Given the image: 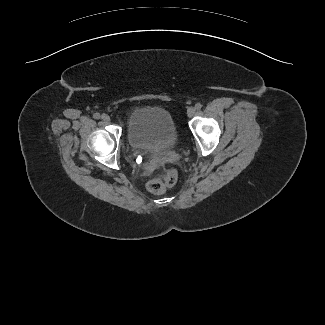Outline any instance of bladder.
Returning <instances> with one entry per match:
<instances>
[{
    "label": "bladder",
    "mask_w": 325,
    "mask_h": 325,
    "mask_svg": "<svg viewBox=\"0 0 325 325\" xmlns=\"http://www.w3.org/2000/svg\"><path fill=\"white\" fill-rule=\"evenodd\" d=\"M131 146L154 151L168 150L179 141L171 113L161 107H140L131 112L126 124Z\"/></svg>",
    "instance_id": "obj_1"
}]
</instances>
